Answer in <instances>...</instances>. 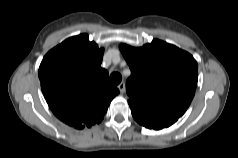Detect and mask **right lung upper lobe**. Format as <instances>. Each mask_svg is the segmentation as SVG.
<instances>
[{
    "instance_id": "right-lung-upper-lobe-1",
    "label": "right lung upper lobe",
    "mask_w": 238,
    "mask_h": 158,
    "mask_svg": "<svg viewBox=\"0 0 238 158\" xmlns=\"http://www.w3.org/2000/svg\"><path fill=\"white\" fill-rule=\"evenodd\" d=\"M104 49L87 34L70 37L50 50L39 67L42 92L52 112L76 127L99 123L119 90L101 68Z\"/></svg>"
}]
</instances>
